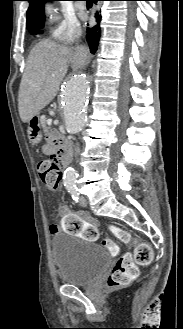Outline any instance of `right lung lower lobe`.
Wrapping results in <instances>:
<instances>
[{"instance_id":"98d812e1","label":"right lung lower lobe","mask_w":183,"mask_h":329,"mask_svg":"<svg viewBox=\"0 0 183 329\" xmlns=\"http://www.w3.org/2000/svg\"><path fill=\"white\" fill-rule=\"evenodd\" d=\"M96 1H100V0H94V3H96ZM95 18H96L97 24L91 28H87V36H86L87 42H88V45L90 47V51L92 54H94L96 52L98 44H99V40L101 37V28H100L101 14H100V12L95 13Z\"/></svg>"}]
</instances>
